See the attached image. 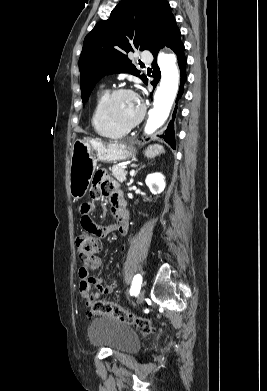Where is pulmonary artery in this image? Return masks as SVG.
<instances>
[{
	"label": "pulmonary artery",
	"mask_w": 267,
	"mask_h": 391,
	"mask_svg": "<svg viewBox=\"0 0 267 391\" xmlns=\"http://www.w3.org/2000/svg\"><path fill=\"white\" fill-rule=\"evenodd\" d=\"M141 60L149 63L152 61V55L149 52H143L141 55Z\"/></svg>",
	"instance_id": "e3ab8cb5"
}]
</instances>
